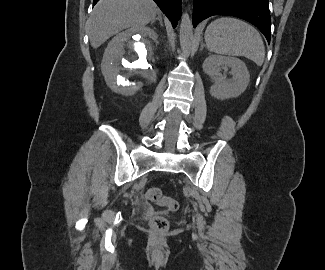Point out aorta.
I'll use <instances>...</instances> for the list:
<instances>
[{"label": "aorta", "instance_id": "obj_1", "mask_svg": "<svg viewBox=\"0 0 325 270\" xmlns=\"http://www.w3.org/2000/svg\"><path fill=\"white\" fill-rule=\"evenodd\" d=\"M193 26L190 16L187 12L182 14L180 25V46L182 53L188 56L193 46Z\"/></svg>", "mask_w": 325, "mask_h": 270}]
</instances>
